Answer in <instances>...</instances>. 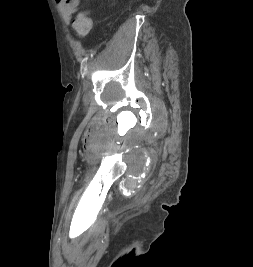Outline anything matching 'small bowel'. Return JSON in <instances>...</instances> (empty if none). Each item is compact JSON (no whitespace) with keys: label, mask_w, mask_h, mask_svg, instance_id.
Here are the masks:
<instances>
[{"label":"small bowel","mask_w":253,"mask_h":267,"mask_svg":"<svg viewBox=\"0 0 253 267\" xmlns=\"http://www.w3.org/2000/svg\"><path fill=\"white\" fill-rule=\"evenodd\" d=\"M58 11L65 23H69L72 15L79 10L80 0H55Z\"/></svg>","instance_id":"c3829d8e"}]
</instances>
